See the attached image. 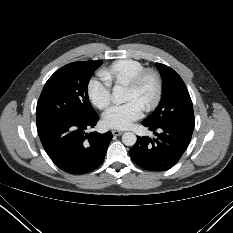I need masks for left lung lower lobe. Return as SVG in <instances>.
Segmentation results:
<instances>
[{"label": "left lung lower lobe", "mask_w": 233, "mask_h": 233, "mask_svg": "<svg viewBox=\"0 0 233 233\" xmlns=\"http://www.w3.org/2000/svg\"><path fill=\"white\" fill-rule=\"evenodd\" d=\"M157 136L151 140L148 136L138 137L130 149L134 163L149 171H165L172 168L187 149L193 126L171 124L153 127L143 123Z\"/></svg>", "instance_id": "obj_1"}]
</instances>
